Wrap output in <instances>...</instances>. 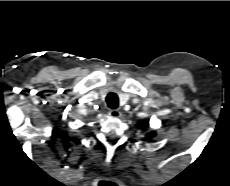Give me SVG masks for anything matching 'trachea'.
I'll list each match as a JSON object with an SVG mask.
<instances>
[{
    "label": "trachea",
    "instance_id": "3493384b",
    "mask_svg": "<svg viewBox=\"0 0 230 186\" xmlns=\"http://www.w3.org/2000/svg\"><path fill=\"white\" fill-rule=\"evenodd\" d=\"M107 106L112 109H116L119 105L118 96L115 93H109L106 96Z\"/></svg>",
    "mask_w": 230,
    "mask_h": 186
}]
</instances>
